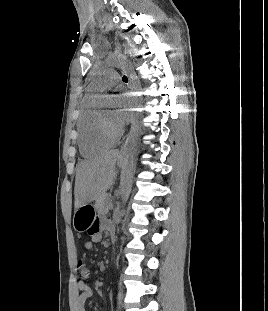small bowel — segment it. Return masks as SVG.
<instances>
[{
    "instance_id": "c3829d8e",
    "label": "small bowel",
    "mask_w": 268,
    "mask_h": 311,
    "mask_svg": "<svg viewBox=\"0 0 268 311\" xmlns=\"http://www.w3.org/2000/svg\"><path fill=\"white\" fill-rule=\"evenodd\" d=\"M114 229L113 224L105 219H97L92 226L88 229L90 240L86 241L84 247L86 250H92L95 244L99 243L102 239V232L104 230L111 231ZM78 296L75 301L77 311H86V302L93 295V288L85 281L81 280L77 283Z\"/></svg>"
}]
</instances>
